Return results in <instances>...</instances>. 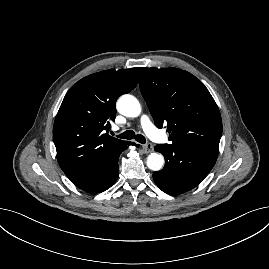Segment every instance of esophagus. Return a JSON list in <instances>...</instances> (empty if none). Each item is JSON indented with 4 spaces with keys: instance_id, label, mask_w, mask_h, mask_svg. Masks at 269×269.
I'll return each instance as SVG.
<instances>
[{
    "instance_id": "esophagus-1",
    "label": "esophagus",
    "mask_w": 269,
    "mask_h": 269,
    "mask_svg": "<svg viewBox=\"0 0 269 269\" xmlns=\"http://www.w3.org/2000/svg\"><path fill=\"white\" fill-rule=\"evenodd\" d=\"M142 148L146 154L153 152V146L151 143L144 144Z\"/></svg>"
}]
</instances>
